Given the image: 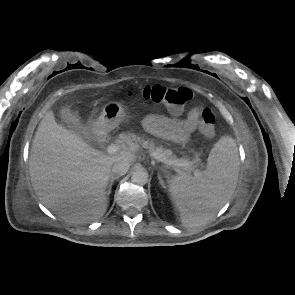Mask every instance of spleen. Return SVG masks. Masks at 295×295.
<instances>
[{
    "label": "spleen",
    "mask_w": 295,
    "mask_h": 295,
    "mask_svg": "<svg viewBox=\"0 0 295 295\" xmlns=\"http://www.w3.org/2000/svg\"><path fill=\"white\" fill-rule=\"evenodd\" d=\"M239 172L236 143L222 137L212 148L206 170L195 176L180 174L169 182L171 198L186 227L206 223L233 194Z\"/></svg>",
    "instance_id": "3e777b00"
}]
</instances>
